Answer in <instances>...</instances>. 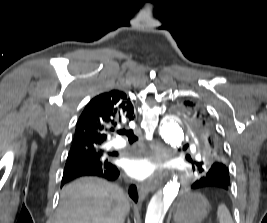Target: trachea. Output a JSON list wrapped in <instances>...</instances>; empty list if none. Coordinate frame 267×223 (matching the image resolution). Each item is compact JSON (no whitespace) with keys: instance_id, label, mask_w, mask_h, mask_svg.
<instances>
[{"instance_id":"trachea-1","label":"trachea","mask_w":267,"mask_h":223,"mask_svg":"<svg viewBox=\"0 0 267 223\" xmlns=\"http://www.w3.org/2000/svg\"><path fill=\"white\" fill-rule=\"evenodd\" d=\"M119 134H125L128 137L130 143L138 140V137L134 134L133 130H120Z\"/></svg>"}]
</instances>
